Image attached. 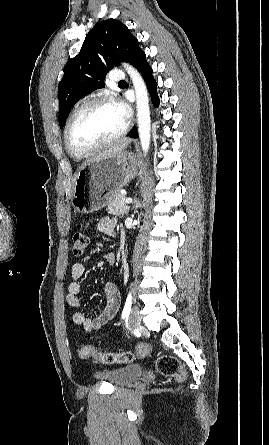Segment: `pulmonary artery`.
<instances>
[{
	"mask_svg": "<svg viewBox=\"0 0 269 445\" xmlns=\"http://www.w3.org/2000/svg\"><path fill=\"white\" fill-rule=\"evenodd\" d=\"M110 80L113 82H120L124 79V73L120 70H113L110 73Z\"/></svg>",
	"mask_w": 269,
	"mask_h": 445,
	"instance_id": "pulmonary-artery-1",
	"label": "pulmonary artery"
}]
</instances>
